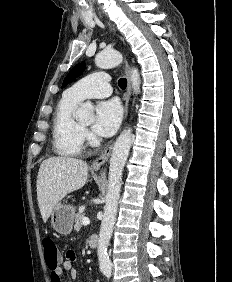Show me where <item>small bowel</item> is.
I'll use <instances>...</instances> for the list:
<instances>
[{"instance_id": "small-bowel-1", "label": "small bowel", "mask_w": 232, "mask_h": 282, "mask_svg": "<svg viewBox=\"0 0 232 282\" xmlns=\"http://www.w3.org/2000/svg\"><path fill=\"white\" fill-rule=\"evenodd\" d=\"M76 261V254L72 250H68L66 253V260L54 271L50 273V282H63L62 275L64 272H68L72 280H75L78 276V271L74 267Z\"/></svg>"}]
</instances>
